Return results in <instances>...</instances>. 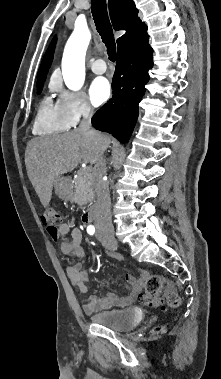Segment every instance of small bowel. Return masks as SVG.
Segmentation results:
<instances>
[{"instance_id": "c3829d8e", "label": "small bowel", "mask_w": 221, "mask_h": 379, "mask_svg": "<svg viewBox=\"0 0 221 379\" xmlns=\"http://www.w3.org/2000/svg\"><path fill=\"white\" fill-rule=\"evenodd\" d=\"M51 238L55 241H61V251L66 256H73L78 260H84L86 255L81 246L82 232L78 227H73L67 222H62L57 227L56 233H49ZM70 235V238L67 236ZM66 274L70 283L82 294L87 295L88 283L90 281L89 273L82 269L80 263L67 265L65 268ZM141 276L134 278L130 274L124 275V280L127 283V294L125 296H118L109 290L102 298L89 296L83 304V310L87 314H92L97 310L124 308L134 303L139 297L142 296L144 280L147 273L140 270Z\"/></svg>"}]
</instances>
